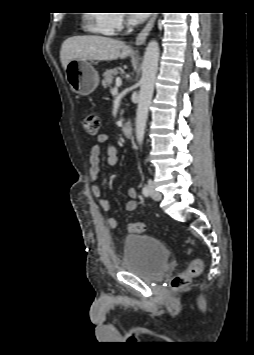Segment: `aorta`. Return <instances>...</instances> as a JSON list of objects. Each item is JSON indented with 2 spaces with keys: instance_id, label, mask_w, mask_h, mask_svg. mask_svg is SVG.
Wrapping results in <instances>:
<instances>
[{
  "instance_id": "aorta-1",
  "label": "aorta",
  "mask_w": 254,
  "mask_h": 355,
  "mask_svg": "<svg viewBox=\"0 0 254 355\" xmlns=\"http://www.w3.org/2000/svg\"><path fill=\"white\" fill-rule=\"evenodd\" d=\"M159 44L156 40L148 43L142 63V78L136 113V138L142 144L148 119V109L152 100L158 70Z\"/></svg>"
}]
</instances>
